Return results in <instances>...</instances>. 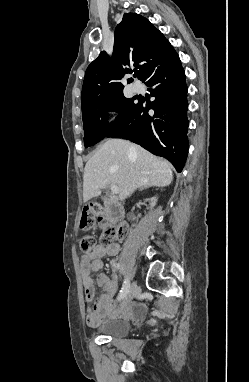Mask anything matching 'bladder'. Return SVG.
I'll list each match as a JSON object with an SVG mask.
<instances>
[{
  "instance_id": "31cf9c89",
  "label": "bladder",
  "mask_w": 249,
  "mask_h": 382,
  "mask_svg": "<svg viewBox=\"0 0 249 382\" xmlns=\"http://www.w3.org/2000/svg\"><path fill=\"white\" fill-rule=\"evenodd\" d=\"M131 330V325L128 320L115 319L103 323L98 327V332L102 336L111 338H124Z\"/></svg>"
}]
</instances>
